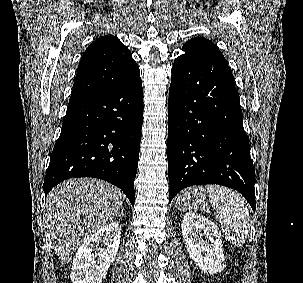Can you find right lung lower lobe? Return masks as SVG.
Returning a JSON list of instances; mask_svg holds the SVG:
<instances>
[{
  "label": "right lung lower lobe",
  "mask_w": 303,
  "mask_h": 283,
  "mask_svg": "<svg viewBox=\"0 0 303 283\" xmlns=\"http://www.w3.org/2000/svg\"><path fill=\"white\" fill-rule=\"evenodd\" d=\"M143 122L140 75L126 85L68 104L44 179L95 177L119 187L134 206V180Z\"/></svg>",
  "instance_id": "right-lung-lower-lobe-1"
}]
</instances>
